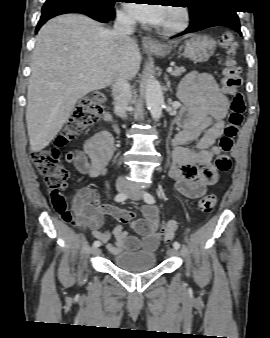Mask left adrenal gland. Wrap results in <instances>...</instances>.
<instances>
[{
    "label": "left adrenal gland",
    "mask_w": 270,
    "mask_h": 338,
    "mask_svg": "<svg viewBox=\"0 0 270 338\" xmlns=\"http://www.w3.org/2000/svg\"><path fill=\"white\" fill-rule=\"evenodd\" d=\"M165 80H166V84H167V89H169L172 92L171 83H170L167 75H165Z\"/></svg>",
    "instance_id": "1"
}]
</instances>
